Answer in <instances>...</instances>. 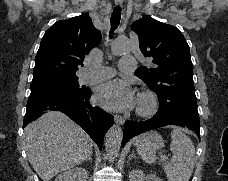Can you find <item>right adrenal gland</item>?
Here are the masks:
<instances>
[{
  "instance_id": "obj_1",
  "label": "right adrenal gland",
  "mask_w": 228,
  "mask_h": 181,
  "mask_svg": "<svg viewBox=\"0 0 228 181\" xmlns=\"http://www.w3.org/2000/svg\"><path fill=\"white\" fill-rule=\"evenodd\" d=\"M92 157H93V153H91L90 157H88V159H85L84 163H87V161H90V163H92Z\"/></svg>"
}]
</instances>
